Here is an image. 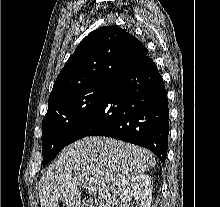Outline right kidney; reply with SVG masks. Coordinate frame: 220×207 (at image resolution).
Wrapping results in <instances>:
<instances>
[{
	"label": "right kidney",
	"mask_w": 220,
	"mask_h": 207,
	"mask_svg": "<svg viewBox=\"0 0 220 207\" xmlns=\"http://www.w3.org/2000/svg\"><path fill=\"white\" fill-rule=\"evenodd\" d=\"M133 198L135 207H151L152 183L149 175L140 174L132 179L122 194L119 207H131Z\"/></svg>",
	"instance_id": "obj_1"
}]
</instances>
